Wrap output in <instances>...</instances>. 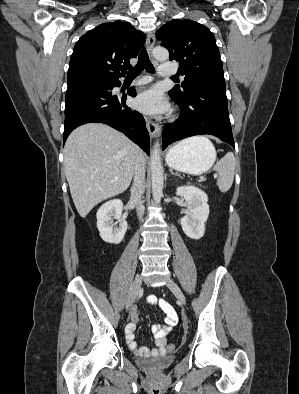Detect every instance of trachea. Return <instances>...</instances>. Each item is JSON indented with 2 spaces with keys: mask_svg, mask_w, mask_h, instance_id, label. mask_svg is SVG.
<instances>
[{
  "mask_svg": "<svg viewBox=\"0 0 299 394\" xmlns=\"http://www.w3.org/2000/svg\"><path fill=\"white\" fill-rule=\"evenodd\" d=\"M143 69H145L150 73L154 72V67L149 60L145 48H143L139 54L137 65L128 71L126 79L136 78L142 72ZM173 79L175 78L173 77Z\"/></svg>",
  "mask_w": 299,
  "mask_h": 394,
  "instance_id": "trachea-1",
  "label": "trachea"
}]
</instances>
